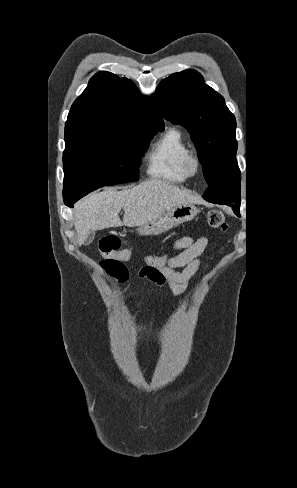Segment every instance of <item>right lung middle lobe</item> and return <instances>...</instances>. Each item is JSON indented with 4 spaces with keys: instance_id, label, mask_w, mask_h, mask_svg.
Segmentation results:
<instances>
[{
    "instance_id": "obj_1",
    "label": "right lung middle lobe",
    "mask_w": 297,
    "mask_h": 488,
    "mask_svg": "<svg viewBox=\"0 0 297 488\" xmlns=\"http://www.w3.org/2000/svg\"><path fill=\"white\" fill-rule=\"evenodd\" d=\"M161 130L156 126H140L124 135L65 142L64 203L73 205L105 185L137 181L141 157Z\"/></svg>"
}]
</instances>
